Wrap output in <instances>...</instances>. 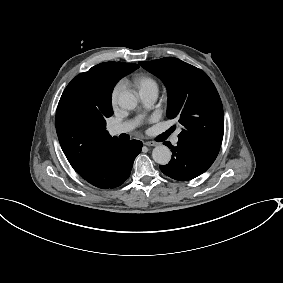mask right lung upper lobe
I'll return each instance as SVG.
<instances>
[{
  "mask_svg": "<svg viewBox=\"0 0 283 283\" xmlns=\"http://www.w3.org/2000/svg\"><path fill=\"white\" fill-rule=\"evenodd\" d=\"M138 67L133 63H101L77 75L64 90L56 112V131L77 173L121 142L109 135L105 119L113 114L111 95L115 84Z\"/></svg>",
  "mask_w": 283,
  "mask_h": 283,
  "instance_id": "obj_1",
  "label": "right lung upper lobe"
}]
</instances>
